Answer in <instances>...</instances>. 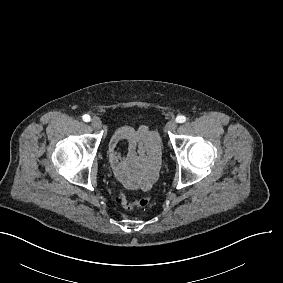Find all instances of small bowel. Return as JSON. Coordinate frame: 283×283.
Instances as JSON below:
<instances>
[{
	"mask_svg": "<svg viewBox=\"0 0 283 283\" xmlns=\"http://www.w3.org/2000/svg\"><path fill=\"white\" fill-rule=\"evenodd\" d=\"M124 140L127 141L132 148L141 145L148 151L149 159L144 154L138 157L140 164L146 165L148 162L150 163L149 169L138 182H133L130 176V170H132L135 175L141 172L140 166L135 163L137 160L136 155L131 154L128 159H125L121 158L118 152V144ZM108 156L113 173L121 183L126 186L133 184L138 188L144 189L141 187L142 184L152 185L157 178L160 163V136L157 131L144 125L137 129L130 126L118 127L109 143Z\"/></svg>",
	"mask_w": 283,
	"mask_h": 283,
	"instance_id": "c3829d8e",
	"label": "small bowel"
}]
</instances>
